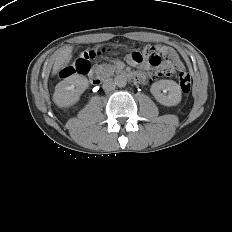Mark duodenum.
<instances>
[{"label":"duodenum","instance_id":"obj_1","mask_svg":"<svg viewBox=\"0 0 232 232\" xmlns=\"http://www.w3.org/2000/svg\"><path fill=\"white\" fill-rule=\"evenodd\" d=\"M132 80H135L136 77H132ZM89 79L94 83V84H100L102 81V76L97 68H92L91 71L89 72Z\"/></svg>","mask_w":232,"mask_h":232}]
</instances>
